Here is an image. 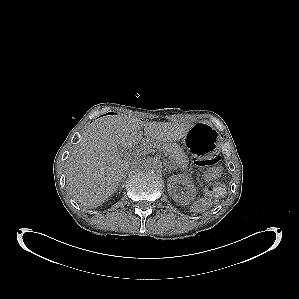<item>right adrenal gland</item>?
Segmentation results:
<instances>
[{"mask_svg":"<svg viewBox=\"0 0 299 299\" xmlns=\"http://www.w3.org/2000/svg\"><path fill=\"white\" fill-rule=\"evenodd\" d=\"M126 176H127V173H125V174L123 175V178H122V180H121V183H123V182L125 181ZM123 187H124V186H123V184H122L121 188H123Z\"/></svg>","mask_w":299,"mask_h":299,"instance_id":"obj_1","label":"right adrenal gland"}]
</instances>
